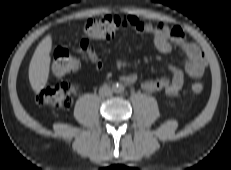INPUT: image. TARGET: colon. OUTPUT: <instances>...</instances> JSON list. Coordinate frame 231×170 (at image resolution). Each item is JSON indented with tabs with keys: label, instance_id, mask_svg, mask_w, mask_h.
Listing matches in <instances>:
<instances>
[{
	"label": "colon",
	"instance_id": "obj_1",
	"mask_svg": "<svg viewBox=\"0 0 231 170\" xmlns=\"http://www.w3.org/2000/svg\"><path fill=\"white\" fill-rule=\"evenodd\" d=\"M123 17L117 15H103L89 19L82 32L85 37L91 39H108L114 36L122 26ZM79 61L66 48L59 47L54 52L52 71L56 76H65L76 71ZM203 91V84L196 81L191 84L190 92L200 94ZM76 87L70 83H60L47 87L35 94V100L41 105H48L57 109H67L72 105Z\"/></svg>",
	"mask_w": 231,
	"mask_h": 170
}]
</instances>
